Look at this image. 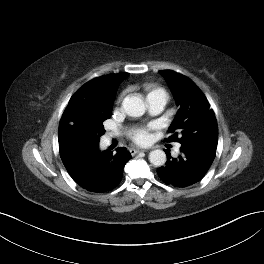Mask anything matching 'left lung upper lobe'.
Instances as JSON below:
<instances>
[{"label":"left lung upper lobe","mask_w":264,"mask_h":264,"mask_svg":"<svg viewBox=\"0 0 264 264\" xmlns=\"http://www.w3.org/2000/svg\"><path fill=\"white\" fill-rule=\"evenodd\" d=\"M160 73L180 106L169 127L173 135L167 141L206 144L217 148V121L201 90L188 77L166 70Z\"/></svg>","instance_id":"obj_1"}]
</instances>
